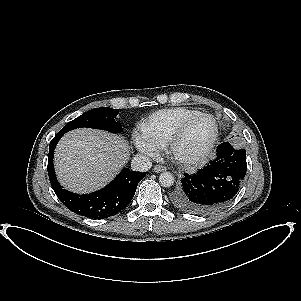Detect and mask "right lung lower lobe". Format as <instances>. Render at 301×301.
I'll return each instance as SVG.
<instances>
[{"instance_id":"1","label":"right lung lower lobe","mask_w":301,"mask_h":301,"mask_svg":"<svg viewBox=\"0 0 301 301\" xmlns=\"http://www.w3.org/2000/svg\"><path fill=\"white\" fill-rule=\"evenodd\" d=\"M62 136L58 133L50 142L47 166L51 186L60 201L74 213L92 219L107 218L123 210L134 197L137 185L145 177V173L123 169L104 189L86 195L71 193L58 183L53 166L55 146Z\"/></svg>"}]
</instances>
